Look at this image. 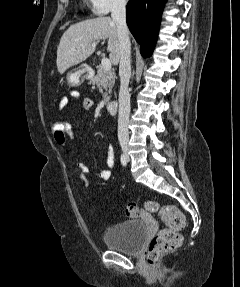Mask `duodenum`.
Masks as SVG:
<instances>
[{
	"label": "duodenum",
	"instance_id": "obj_1",
	"mask_svg": "<svg viewBox=\"0 0 240 287\" xmlns=\"http://www.w3.org/2000/svg\"><path fill=\"white\" fill-rule=\"evenodd\" d=\"M117 106H118V103H117L116 100H110L106 104V108H107L108 112L111 113V114L116 113Z\"/></svg>",
	"mask_w": 240,
	"mask_h": 287
}]
</instances>
